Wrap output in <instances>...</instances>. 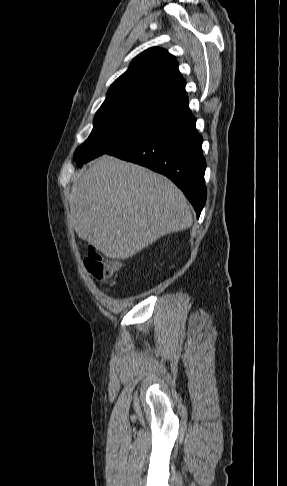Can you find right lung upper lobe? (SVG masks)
<instances>
[{
  "label": "right lung upper lobe",
  "instance_id": "1",
  "mask_svg": "<svg viewBox=\"0 0 287 486\" xmlns=\"http://www.w3.org/2000/svg\"><path fill=\"white\" fill-rule=\"evenodd\" d=\"M185 85L175 57L162 48H149L115 80L102 106L147 104L173 112L188 105Z\"/></svg>",
  "mask_w": 287,
  "mask_h": 486
}]
</instances>
